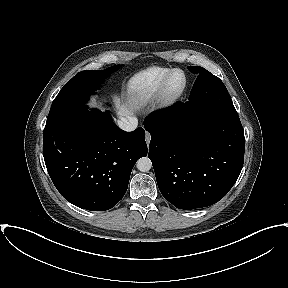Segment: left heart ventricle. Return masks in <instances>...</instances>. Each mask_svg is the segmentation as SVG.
Listing matches in <instances>:
<instances>
[{"label": "left heart ventricle", "mask_w": 288, "mask_h": 288, "mask_svg": "<svg viewBox=\"0 0 288 288\" xmlns=\"http://www.w3.org/2000/svg\"><path fill=\"white\" fill-rule=\"evenodd\" d=\"M182 77L180 74H176L172 80V85L174 87L178 86L181 83Z\"/></svg>", "instance_id": "obj_1"}]
</instances>
